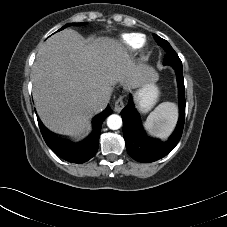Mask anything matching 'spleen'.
<instances>
[{
  "label": "spleen",
  "mask_w": 227,
  "mask_h": 227,
  "mask_svg": "<svg viewBox=\"0 0 227 227\" xmlns=\"http://www.w3.org/2000/svg\"><path fill=\"white\" fill-rule=\"evenodd\" d=\"M176 119V105L174 103L164 102L150 113L144 125L151 133L165 137L175 125Z\"/></svg>",
  "instance_id": "obj_1"
}]
</instances>
